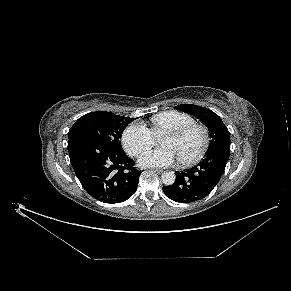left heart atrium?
Instances as JSON below:
<instances>
[{"label": "left heart atrium", "mask_w": 291, "mask_h": 291, "mask_svg": "<svg viewBox=\"0 0 291 291\" xmlns=\"http://www.w3.org/2000/svg\"><path fill=\"white\" fill-rule=\"evenodd\" d=\"M176 160L178 157L173 149L162 148L144 152L139 158V163L146 167H167Z\"/></svg>", "instance_id": "39dd6f15"}]
</instances>
